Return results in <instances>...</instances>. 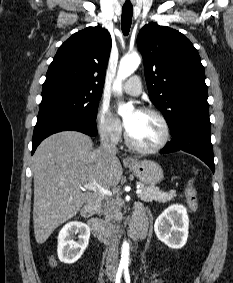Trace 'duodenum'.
Masks as SVG:
<instances>
[{
	"mask_svg": "<svg viewBox=\"0 0 233 283\" xmlns=\"http://www.w3.org/2000/svg\"><path fill=\"white\" fill-rule=\"evenodd\" d=\"M100 198L97 196L92 197L89 202L83 207L81 215L87 220L89 227L94 235L103 243L109 244L112 240L111 233L107 226L100 219L94 217L100 206ZM142 219V217H139ZM146 233V223L139 220L132 231V237L135 241L144 238Z\"/></svg>",
	"mask_w": 233,
	"mask_h": 283,
	"instance_id": "duodenum-1",
	"label": "duodenum"
}]
</instances>
